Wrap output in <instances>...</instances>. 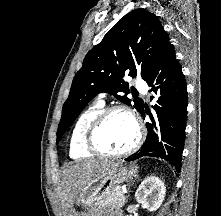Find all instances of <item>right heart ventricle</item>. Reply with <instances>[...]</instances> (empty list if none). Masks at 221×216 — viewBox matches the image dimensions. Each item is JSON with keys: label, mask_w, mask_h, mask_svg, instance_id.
Instances as JSON below:
<instances>
[{"label": "right heart ventricle", "mask_w": 221, "mask_h": 216, "mask_svg": "<svg viewBox=\"0 0 221 216\" xmlns=\"http://www.w3.org/2000/svg\"><path fill=\"white\" fill-rule=\"evenodd\" d=\"M104 109L103 102H95L87 107L76 120L69 140V155L80 159L91 157L93 153L85 147V132L91 121Z\"/></svg>", "instance_id": "1"}]
</instances>
